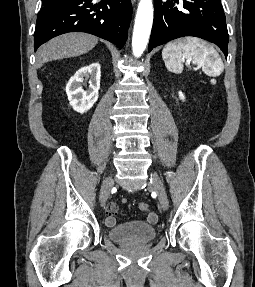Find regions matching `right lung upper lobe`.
<instances>
[{
	"mask_svg": "<svg viewBox=\"0 0 255 287\" xmlns=\"http://www.w3.org/2000/svg\"><path fill=\"white\" fill-rule=\"evenodd\" d=\"M47 3L51 2L52 0H45Z\"/></svg>",
	"mask_w": 255,
	"mask_h": 287,
	"instance_id": "1",
	"label": "right lung upper lobe"
}]
</instances>
